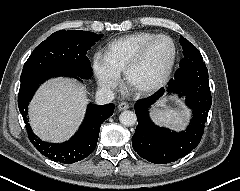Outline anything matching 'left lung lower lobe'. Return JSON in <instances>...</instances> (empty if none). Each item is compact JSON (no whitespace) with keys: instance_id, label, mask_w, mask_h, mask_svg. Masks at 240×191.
Returning a JSON list of instances; mask_svg holds the SVG:
<instances>
[{"instance_id":"obj_1","label":"left lung lower lobe","mask_w":240,"mask_h":191,"mask_svg":"<svg viewBox=\"0 0 240 191\" xmlns=\"http://www.w3.org/2000/svg\"><path fill=\"white\" fill-rule=\"evenodd\" d=\"M168 91L185 96L187 105L193 111L186 131L172 132L156 126L151 121L148 110L165 90L135 105L138 126L132 137L133 149L142 158L155 164L177 161L200 143L212 103L208 71L192 73L180 65L174 79L168 85Z\"/></svg>"}]
</instances>
